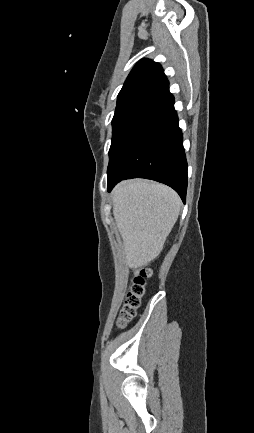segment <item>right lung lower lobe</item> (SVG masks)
Listing matches in <instances>:
<instances>
[{"label": "right lung lower lobe", "mask_w": 254, "mask_h": 433, "mask_svg": "<svg viewBox=\"0 0 254 433\" xmlns=\"http://www.w3.org/2000/svg\"><path fill=\"white\" fill-rule=\"evenodd\" d=\"M137 177L167 184L185 203L187 161L168 86L133 113L110 155L108 191L123 179Z\"/></svg>", "instance_id": "1"}]
</instances>
